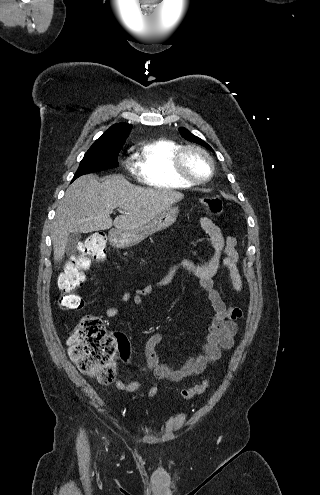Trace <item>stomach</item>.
I'll return each mask as SVG.
<instances>
[{
    "instance_id": "0dacf381",
    "label": "stomach",
    "mask_w": 320,
    "mask_h": 495,
    "mask_svg": "<svg viewBox=\"0 0 320 495\" xmlns=\"http://www.w3.org/2000/svg\"><path fill=\"white\" fill-rule=\"evenodd\" d=\"M179 210L177 207H168L157 215L149 223L136 229L110 232L109 240L111 244L118 248L134 246L147 238L148 236L167 229L176 221Z\"/></svg>"
}]
</instances>
